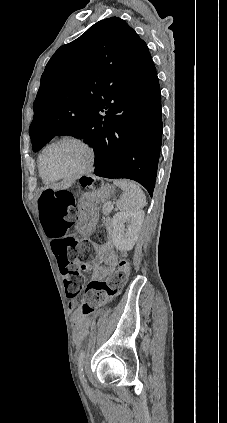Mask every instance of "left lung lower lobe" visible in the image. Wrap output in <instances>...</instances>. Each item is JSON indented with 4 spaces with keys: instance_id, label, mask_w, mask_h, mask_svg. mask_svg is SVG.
Instances as JSON below:
<instances>
[{
    "instance_id": "left-lung-lower-lobe-1",
    "label": "left lung lower lobe",
    "mask_w": 227,
    "mask_h": 423,
    "mask_svg": "<svg viewBox=\"0 0 227 423\" xmlns=\"http://www.w3.org/2000/svg\"><path fill=\"white\" fill-rule=\"evenodd\" d=\"M98 130L84 138L96 152L97 176L127 178L153 194L162 139L161 95L157 73L135 111L106 112Z\"/></svg>"
}]
</instances>
